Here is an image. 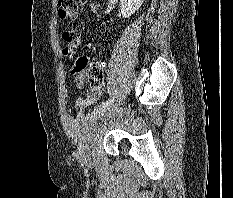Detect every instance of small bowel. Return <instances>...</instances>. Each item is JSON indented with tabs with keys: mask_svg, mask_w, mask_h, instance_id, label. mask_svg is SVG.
<instances>
[{
	"mask_svg": "<svg viewBox=\"0 0 233 198\" xmlns=\"http://www.w3.org/2000/svg\"><path fill=\"white\" fill-rule=\"evenodd\" d=\"M63 53L67 55L69 53L68 48L64 49ZM80 59L84 60L83 64L78 63ZM88 64H89V60L87 57H79L76 60L75 66L72 69V73L75 75V84L77 87H81L83 85L84 78L88 74L89 70L91 69V68L88 69ZM103 92H104L103 85H100L97 87H91L88 90L87 95L85 97H78L75 100V107L80 110H84L88 108L89 106L93 105L98 100H100V98L103 95Z\"/></svg>",
	"mask_w": 233,
	"mask_h": 198,
	"instance_id": "small-bowel-1",
	"label": "small bowel"
}]
</instances>
